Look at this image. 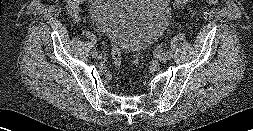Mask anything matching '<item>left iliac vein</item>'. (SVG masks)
<instances>
[{
  "instance_id": "obj_1",
  "label": "left iliac vein",
  "mask_w": 253,
  "mask_h": 131,
  "mask_svg": "<svg viewBox=\"0 0 253 131\" xmlns=\"http://www.w3.org/2000/svg\"><path fill=\"white\" fill-rule=\"evenodd\" d=\"M172 52H170L169 54H166V53H158L157 55V58L162 61V62H165L167 60H169L170 58H172Z\"/></svg>"
}]
</instances>
